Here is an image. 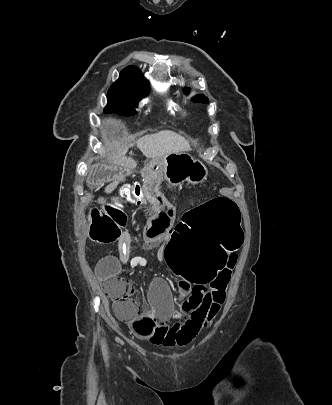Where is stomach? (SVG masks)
I'll return each mask as SVG.
<instances>
[{
    "label": "stomach",
    "instance_id": "stomach-1",
    "mask_svg": "<svg viewBox=\"0 0 332 405\" xmlns=\"http://www.w3.org/2000/svg\"><path fill=\"white\" fill-rule=\"evenodd\" d=\"M161 170L168 182L173 185L188 181L202 183L207 179L208 169L185 152L171 153L161 159Z\"/></svg>",
    "mask_w": 332,
    "mask_h": 405
}]
</instances>
